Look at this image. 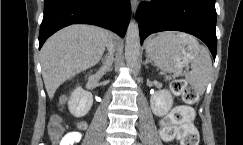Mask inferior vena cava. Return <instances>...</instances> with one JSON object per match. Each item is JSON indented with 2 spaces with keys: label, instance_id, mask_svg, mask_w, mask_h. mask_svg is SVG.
<instances>
[{
  "label": "inferior vena cava",
  "instance_id": "1",
  "mask_svg": "<svg viewBox=\"0 0 243 145\" xmlns=\"http://www.w3.org/2000/svg\"><path fill=\"white\" fill-rule=\"evenodd\" d=\"M107 48H108L109 53L105 59V62L103 63V67H102V69L105 71H109L111 69L112 62H113L114 45L112 44L111 41L108 42Z\"/></svg>",
  "mask_w": 243,
  "mask_h": 145
}]
</instances>
